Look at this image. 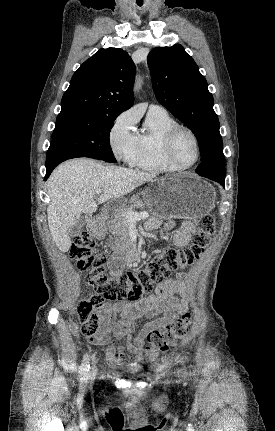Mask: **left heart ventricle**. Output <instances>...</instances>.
Returning a JSON list of instances; mask_svg holds the SVG:
<instances>
[{"mask_svg":"<svg viewBox=\"0 0 275 431\" xmlns=\"http://www.w3.org/2000/svg\"><path fill=\"white\" fill-rule=\"evenodd\" d=\"M173 153L180 164L188 165L194 161L196 150L193 139L189 134L182 132L177 136Z\"/></svg>","mask_w":275,"mask_h":431,"instance_id":"b2bd125f","label":"left heart ventricle"}]
</instances>
